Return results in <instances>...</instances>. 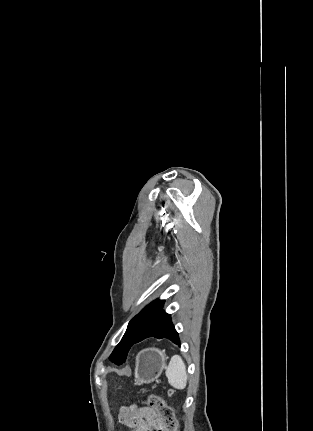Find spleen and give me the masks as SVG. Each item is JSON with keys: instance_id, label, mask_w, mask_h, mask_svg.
Here are the masks:
<instances>
[{"instance_id": "obj_1", "label": "spleen", "mask_w": 313, "mask_h": 431, "mask_svg": "<svg viewBox=\"0 0 313 431\" xmlns=\"http://www.w3.org/2000/svg\"><path fill=\"white\" fill-rule=\"evenodd\" d=\"M168 382L176 389H184L187 385L186 366L179 355L171 358L165 372Z\"/></svg>"}]
</instances>
